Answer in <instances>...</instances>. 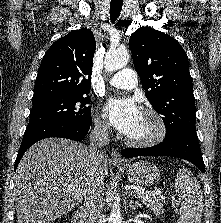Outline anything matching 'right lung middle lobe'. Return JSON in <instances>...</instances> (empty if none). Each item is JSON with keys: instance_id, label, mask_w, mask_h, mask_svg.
Returning <instances> with one entry per match:
<instances>
[{"instance_id": "right-lung-middle-lobe-1", "label": "right lung middle lobe", "mask_w": 221, "mask_h": 223, "mask_svg": "<svg viewBox=\"0 0 221 223\" xmlns=\"http://www.w3.org/2000/svg\"><path fill=\"white\" fill-rule=\"evenodd\" d=\"M86 94L88 92L53 96L33 101L27 128L57 121L76 125L91 124V110L87 106L90 99L86 97Z\"/></svg>"}]
</instances>
